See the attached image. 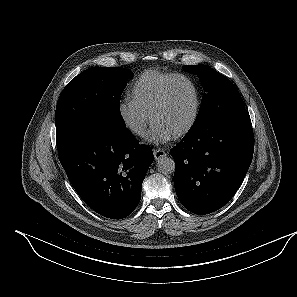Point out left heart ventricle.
I'll return each instance as SVG.
<instances>
[{"label": "left heart ventricle", "instance_id": "left-heart-ventricle-1", "mask_svg": "<svg viewBox=\"0 0 297 297\" xmlns=\"http://www.w3.org/2000/svg\"><path fill=\"white\" fill-rule=\"evenodd\" d=\"M195 106L192 86L184 80L171 88L166 103L154 114L152 123L158 124L172 135L181 130L190 120Z\"/></svg>", "mask_w": 297, "mask_h": 297}]
</instances>
